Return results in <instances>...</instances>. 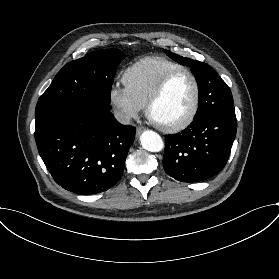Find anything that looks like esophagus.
<instances>
[{
	"label": "esophagus",
	"instance_id": "obj_1",
	"mask_svg": "<svg viewBox=\"0 0 279 279\" xmlns=\"http://www.w3.org/2000/svg\"><path fill=\"white\" fill-rule=\"evenodd\" d=\"M144 130H145V128L143 126H137L136 136H139Z\"/></svg>",
	"mask_w": 279,
	"mask_h": 279
}]
</instances>
